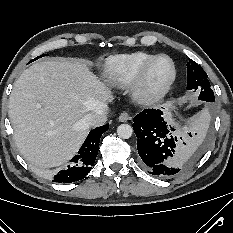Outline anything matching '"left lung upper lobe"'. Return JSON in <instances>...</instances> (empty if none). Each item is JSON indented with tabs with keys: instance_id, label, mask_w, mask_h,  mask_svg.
<instances>
[{
	"instance_id": "left-lung-upper-lobe-1",
	"label": "left lung upper lobe",
	"mask_w": 233,
	"mask_h": 233,
	"mask_svg": "<svg viewBox=\"0 0 233 233\" xmlns=\"http://www.w3.org/2000/svg\"><path fill=\"white\" fill-rule=\"evenodd\" d=\"M206 72L193 60L187 63V89H197L201 87L200 100L214 102V93L210 88Z\"/></svg>"
}]
</instances>
